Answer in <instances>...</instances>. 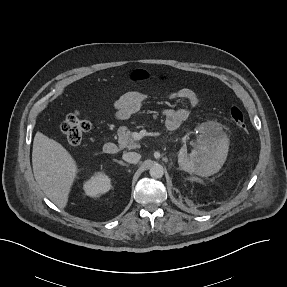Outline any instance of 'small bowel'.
Masks as SVG:
<instances>
[{"label":"small bowel","mask_w":287,"mask_h":287,"mask_svg":"<svg viewBox=\"0 0 287 287\" xmlns=\"http://www.w3.org/2000/svg\"><path fill=\"white\" fill-rule=\"evenodd\" d=\"M167 97L170 100L186 101L191 108H195L200 104V97L198 94L189 88H180L172 91ZM146 99L147 96L138 91H130L123 94L115 102L117 117L122 120L129 119L142 109ZM163 115L166 128L175 130L187 120L190 115V110L188 108L169 107L163 111Z\"/></svg>","instance_id":"obj_1"}]
</instances>
